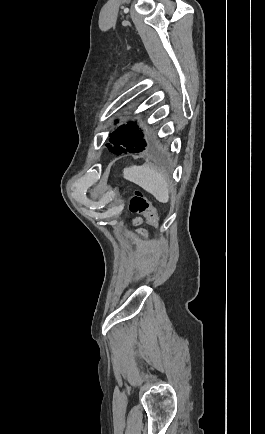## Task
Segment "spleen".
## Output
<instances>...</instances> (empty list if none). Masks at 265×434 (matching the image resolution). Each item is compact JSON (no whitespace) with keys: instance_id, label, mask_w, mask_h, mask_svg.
I'll return each mask as SVG.
<instances>
[{"instance_id":"1","label":"spleen","mask_w":265,"mask_h":434,"mask_svg":"<svg viewBox=\"0 0 265 434\" xmlns=\"http://www.w3.org/2000/svg\"><path fill=\"white\" fill-rule=\"evenodd\" d=\"M123 178L141 186L143 190L152 194L158 202L167 204L169 200L168 184L163 174L155 170V168H150V166H131V168H124Z\"/></svg>"}]
</instances>
